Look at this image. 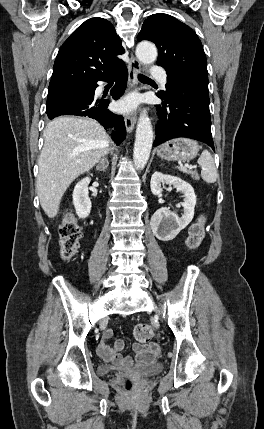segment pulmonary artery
Segmentation results:
<instances>
[{"instance_id":"pulmonary-artery-1","label":"pulmonary artery","mask_w":264,"mask_h":429,"mask_svg":"<svg viewBox=\"0 0 264 429\" xmlns=\"http://www.w3.org/2000/svg\"><path fill=\"white\" fill-rule=\"evenodd\" d=\"M150 75L155 77L162 86L166 85L167 79L164 70L158 66H152L150 68Z\"/></svg>"}]
</instances>
